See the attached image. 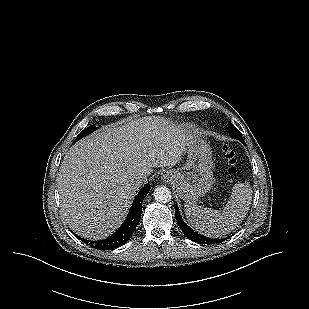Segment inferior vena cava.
<instances>
[{
    "label": "inferior vena cava",
    "instance_id": "602c4592",
    "mask_svg": "<svg viewBox=\"0 0 309 309\" xmlns=\"http://www.w3.org/2000/svg\"><path fill=\"white\" fill-rule=\"evenodd\" d=\"M133 182L138 185V186H141L144 182H146V175L141 173V174H138V175H135L133 177Z\"/></svg>",
    "mask_w": 309,
    "mask_h": 309
}]
</instances>
